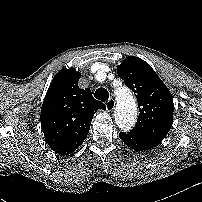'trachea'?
I'll return each mask as SVG.
<instances>
[{
    "instance_id": "obj_1",
    "label": "trachea",
    "mask_w": 202,
    "mask_h": 202,
    "mask_svg": "<svg viewBox=\"0 0 202 202\" xmlns=\"http://www.w3.org/2000/svg\"><path fill=\"white\" fill-rule=\"evenodd\" d=\"M95 98L100 101H106L109 98V93L105 88H98L94 94Z\"/></svg>"
}]
</instances>
